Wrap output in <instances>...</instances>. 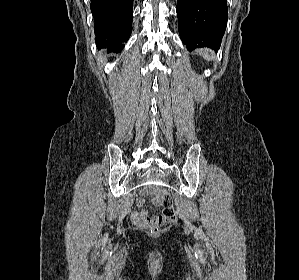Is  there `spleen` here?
<instances>
[{"instance_id": "spleen-1", "label": "spleen", "mask_w": 299, "mask_h": 280, "mask_svg": "<svg viewBox=\"0 0 299 280\" xmlns=\"http://www.w3.org/2000/svg\"><path fill=\"white\" fill-rule=\"evenodd\" d=\"M203 55L205 58H207L209 56V51H204Z\"/></svg>"}]
</instances>
